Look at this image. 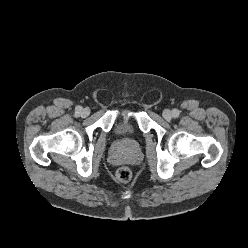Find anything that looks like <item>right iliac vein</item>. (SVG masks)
<instances>
[{
    "label": "right iliac vein",
    "instance_id": "63e3f726",
    "mask_svg": "<svg viewBox=\"0 0 248 248\" xmlns=\"http://www.w3.org/2000/svg\"><path fill=\"white\" fill-rule=\"evenodd\" d=\"M89 114H90V110H89L88 108H84V109L81 111V116H82V117H87Z\"/></svg>",
    "mask_w": 248,
    "mask_h": 248
}]
</instances>
